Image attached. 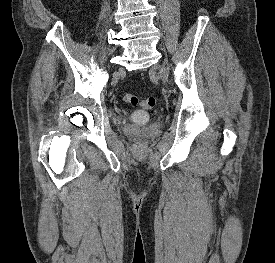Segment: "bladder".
Instances as JSON below:
<instances>
[{
	"mask_svg": "<svg viewBox=\"0 0 275 263\" xmlns=\"http://www.w3.org/2000/svg\"><path fill=\"white\" fill-rule=\"evenodd\" d=\"M149 114L145 111L136 110L130 115V120L135 124H145L149 120Z\"/></svg>",
	"mask_w": 275,
	"mask_h": 263,
	"instance_id": "1",
	"label": "bladder"
}]
</instances>
